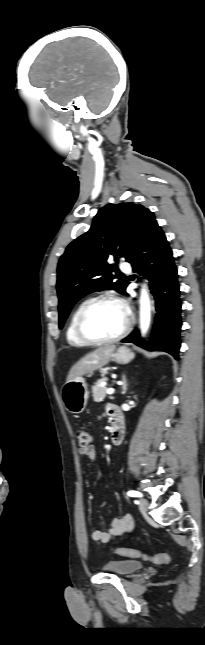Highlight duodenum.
<instances>
[{"instance_id":"1","label":"duodenum","mask_w":205,"mask_h":645,"mask_svg":"<svg viewBox=\"0 0 205 645\" xmlns=\"http://www.w3.org/2000/svg\"><path fill=\"white\" fill-rule=\"evenodd\" d=\"M125 433L123 416L117 408L112 412L111 441L113 445H119Z\"/></svg>"}]
</instances>
